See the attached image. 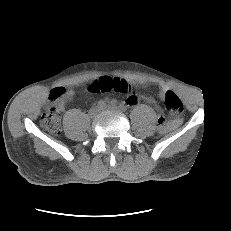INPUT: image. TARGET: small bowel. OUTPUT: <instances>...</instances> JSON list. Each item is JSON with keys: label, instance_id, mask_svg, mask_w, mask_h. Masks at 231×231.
Segmentation results:
<instances>
[{"label": "small bowel", "instance_id": "obj_1", "mask_svg": "<svg viewBox=\"0 0 231 231\" xmlns=\"http://www.w3.org/2000/svg\"><path fill=\"white\" fill-rule=\"evenodd\" d=\"M54 90H61L62 91V94L60 97H58L57 99L53 100L56 105H57V108L62 110L64 109L65 107V104H66V101L70 98L73 97L74 95V92L73 90H64L63 88H56ZM53 90V91H54ZM167 88L165 86H161V95L162 96H165L166 92H167ZM143 97L139 94H135V93H130V94H127L126 96V102L130 105H135L137 104ZM150 102H152L151 99H148Z\"/></svg>", "mask_w": 231, "mask_h": 231}]
</instances>
